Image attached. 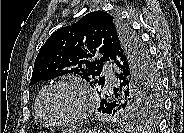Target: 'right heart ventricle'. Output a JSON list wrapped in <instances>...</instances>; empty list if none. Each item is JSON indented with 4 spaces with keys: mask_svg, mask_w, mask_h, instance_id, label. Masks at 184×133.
Returning <instances> with one entry per match:
<instances>
[{
    "mask_svg": "<svg viewBox=\"0 0 184 133\" xmlns=\"http://www.w3.org/2000/svg\"><path fill=\"white\" fill-rule=\"evenodd\" d=\"M47 87H44L41 89V91L39 92L38 96H37V99H36V103H35V110H36V114L38 116V118L40 119V121L44 124H48V122L46 121V119L44 118V115L41 111V108H40V101H41V98H42V95L44 93V91L46 90Z\"/></svg>",
    "mask_w": 184,
    "mask_h": 133,
    "instance_id": "1",
    "label": "right heart ventricle"
}]
</instances>
